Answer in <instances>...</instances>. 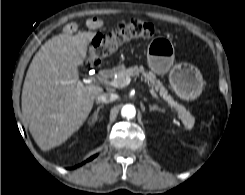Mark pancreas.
<instances>
[{"instance_id":"pancreas-1","label":"pancreas","mask_w":245,"mask_h":195,"mask_svg":"<svg viewBox=\"0 0 245 195\" xmlns=\"http://www.w3.org/2000/svg\"><path fill=\"white\" fill-rule=\"evenodd\" d=\"M117 75V78L114 80L118 83V86L121 87L123 81L126 77L131 76H139L142 75L144 80L156 91L159 92L160 96L167 101L168 105L173 108L177 113L184 124L187 130L193 128L195 123V118L191 115V113L182 105H179L177 101H175L165 89L163 84L156 78L155 74L151 71L147 72L143 66H134L127 69H117L111 73V76Z\"/></svg>"}]
</instances>
